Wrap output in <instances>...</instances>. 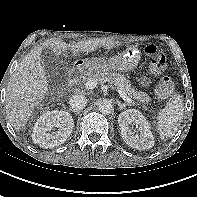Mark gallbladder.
<instances>
[{
	"label": "gallbladder",
	"instance_id": "obj_1",
	"mask_svg": "<svg viewBox=\"0 0 197 197\" xmlns=\"http://www.w3.org/2000/svg\"><path fill=\"white\" fill-rule=\"evenodd\" d=\"M41 61L48 74L53 76L55 71L51 66L54 62V53L51 50L45 48L41 55Z\"/></svg>",
	"mask_w": 197,
	"mask_h": 197
}]
</instances>
